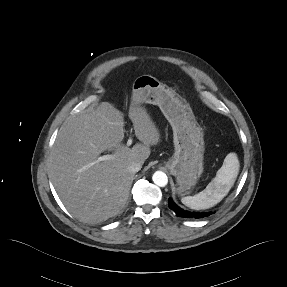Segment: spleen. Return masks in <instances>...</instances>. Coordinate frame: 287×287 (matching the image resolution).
Wrapping results in <instances>:
<instances>
[{
  "instance_id": "spleen-1",
  "label": "spleen",
  "mask_w": 287,
  "mask_h": 287,
  "mask_svg": "<svg viewBox=\"0 0 287 287\" xmlns=\"http://www.w3.org/2000/svg\"><path fill=\"white\" fill-rule=\"evenodd\" d=\"M239 161L236 153H229L215 178L207 187L194 196H186L181 202L194 210L208 209L218 204L233 187L239 172Z\"/></svg>"
}]
</instances>
